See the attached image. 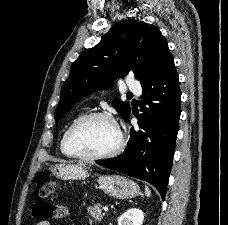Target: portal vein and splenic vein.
<instances>
[{"label":"portal vein and splenic vein","mask_w":228,"mask_h":225,"mask_svg":"<svg viewBox=\"0 0 228 225\" xmlns=\"http://www.w3.org/2000/svg\"><path fill=\"white\" fill-rule=\"evenodd\" d=\"M103 211H109L108 207H103Z\"/></svg>","instance_id":"obj_1"}]
</instances>
